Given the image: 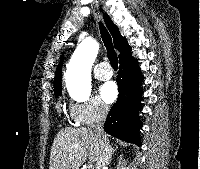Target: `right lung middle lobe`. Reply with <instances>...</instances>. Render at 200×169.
Listing matches in <instances>:
<instances>
[{"label": "right lung middle lobe", "mask_w": 200, "mask_h": 169, "mask_svg": "<svg viewBox=\"0 0 200 169\" xmlns=\"http://www.w3.org/2000/svg\"><path fill=\"white\" fill-rule=\"evenodd\" d=\"M55 94L58 96V95H61V92H55Z\"/></svg>", "instance_id": "1"}]
</instances>
